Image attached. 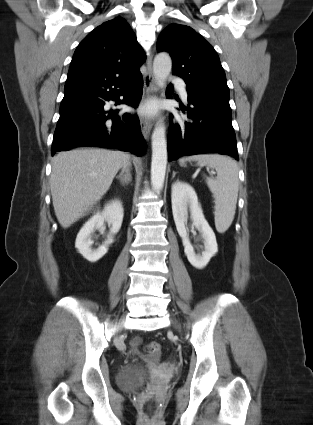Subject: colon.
<instances>
[{"label":"colon","mask_w":313,"mask_h":425,"mask_svg":"<svg viewBox=\"0 0 313 425\" xmlns=\"http://www.w3.org/2000/svg\"><path fill=\"white\" fill-rule=\"evenodd\" d=\"M161 349V345L158 342H150L146 344L143 351L148 354L158 353Z\"/></svg>","instance_id":"colon-1"}]
</instances>
